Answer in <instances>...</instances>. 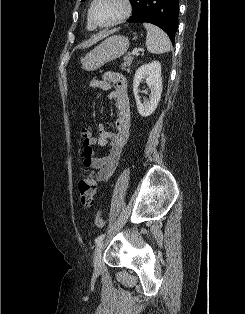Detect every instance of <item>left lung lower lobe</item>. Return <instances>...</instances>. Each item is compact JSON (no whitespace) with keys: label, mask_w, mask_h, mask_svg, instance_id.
Wrapping results in <instances>:
<instances>
[{"label":"left lung lower lobe","mask_w":245,"mask_h":314,"mask_svg":"<svg viewBox=\"0 0 245 314\" xmlns=\"http://www.w3.org/2000/svg\"><path fill=\"white\" fill-rule=\"evenodd\" d=\"M138 13L128 21L132 23L148 22L163 29L172 43L178 27V0H142Z\"/></svg>","instance_id":"0a47b994"}]
</instances>
